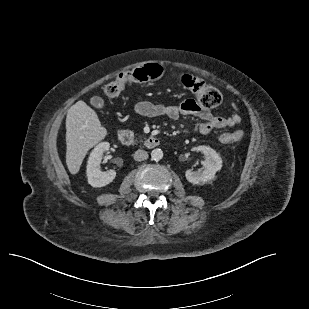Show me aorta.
<instances>
[{
  "label": "aorta",
  "mask_w": 309,
  "mask_h": 309,
  "mask_svg": "<svg viewBox=\"0 0 309 309\" xmlns=\"http://www.w3.org/2000/svg\"><path fill=\"white\" fill-rule=\"evenodd\" d=\"M151 157L155 161H159L163 158V151L159 148L153 149L151 152Z\"/></svg>",
  "instance_id": "1"
}]
</instances>
